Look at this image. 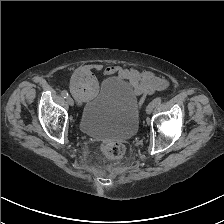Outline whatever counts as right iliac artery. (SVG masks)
Here are the masks:
<instances>
[{"instance_id": "obj_1", "label": "right iliac artery", "mask_w": 224, "mask_h": 224, "mask_svg": "<svg viewBox=\"0 0 224 224\" xmlns=\"http://www.w3.org/2000/svg\"><path fill=\"white\" fill-rule=\"evenodd\" d=\"M61 95H62V97L67 98V97H68V92L65 91V90H63V91L61 92Z\"/></svg>"}]
</instances>
